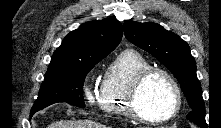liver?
I'll use <instances>...</instances> for the list:
<instances>
[{"label": "liver", "mask_w": 221, "mask_h": 128, "mask_svg": "<svg viewBox=\"0 0 221 128\" xmlns=\"http://www.w3.org/2000/svg\"><path fill=\"white\" fill-rule=\"evenodd\" d=\"M48 128H106L92 120H62L51 123Z\"/></svg>", "instance_id": "1"}]
</instances>
